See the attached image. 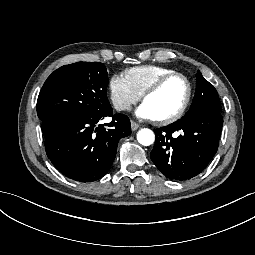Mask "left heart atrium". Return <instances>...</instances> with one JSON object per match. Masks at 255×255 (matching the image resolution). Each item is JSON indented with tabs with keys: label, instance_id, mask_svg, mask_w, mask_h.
Masks as SVG:
<instances>
[{
	"label": "left heart atrium",
	"instance_id": "obj_1",
	"mask_svg": "<svg viewBox=\"0 0 255 255\" xmlns=\"http://www.w3.org/2000/svg\"><path fill=\"white\" fill-rule=\"evenodd\" d=\"M141 113H142V114H146V113H147V110L144 109V110L141 111Z\"/></svg>",
	"mask_w": 255,
	"mask_h": 255
}]
</instances>
